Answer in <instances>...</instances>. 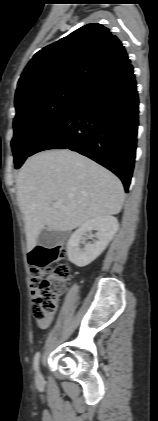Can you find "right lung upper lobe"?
Returning a JSON list of instances; mask_svg holds the SVG:
<instances>
[{"instance_id": "obj_1", "label": "right lung upper lobe", "mask_w": 158, "mask_h": 421, "mask_svg": "<svg viewBox=\"0 0 158 421\" xmlns=\"http://www.w3.org/2000/svg\"><path fill=\"white\" fill-rule=\"evenodd\" d=\"M124 54L121 41L108 28L87 24L33 56L18 81L15 103L49 88L85 85Z\"/></svg>"}]
</instances>
